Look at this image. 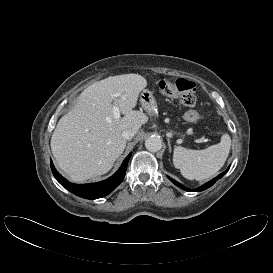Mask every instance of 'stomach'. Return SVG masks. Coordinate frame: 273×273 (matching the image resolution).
Masks as SVG:
<instances>
[{
  "mask_svg": "<svg viewBox=\"0 0 273 273\" xmlns=\"http://www.w3.org/2000/svg\"><path fill=\"white\" fill-rule=\"evenodd\" d=\"M157 84L159 85L160 90L163 92L170 90L172 87V84L166 79L158 80ZM140 102H141L142 108L149 115L157 114V103L151 91L143 90V92L140 95Z\"/></svg>",
  "mask_w": 273,
  "mask_h": 273,
  "instance_id": "obj_1",
  "label": "stomach"
}]
</instances>
